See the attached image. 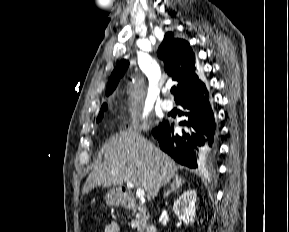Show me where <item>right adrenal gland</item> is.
<instances>
[{
  "instance_id": "right-adrenal-gland-1",
  "label": "right adrenal gland",
  "mask_w": 289,
  "mask_h": 232,
  "mask_svg": "<svg viewBox=\"0 0 289 232\" xmlns=\"http://www.w3.org/2000/svg\"><path fill=\"white\" fill-rule=\"evenodd\" d=\"M184 183H185V180L182 177L178 175L175 176L174 181L171 184L170 190H167L166 192H164V198H167L170 195V193L177 191Z\"/></svg>"
}]
</instances>
